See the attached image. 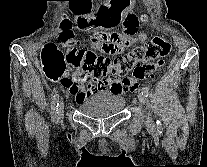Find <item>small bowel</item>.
<instances>
[{"label":"small bowel","mask_w":207,"mask_h":167,"mask_svg":"<svg viewBox=\"0 0 207 167\" xmlns=\"http://www.w3.org/2000/svg\"><path fill=\"white\" fill-rule=\"evenodd\" d=\"M131 2L132 0H107L101 10H98L100 15L94 20L86 19L87 15H83L91 14L93 1H70L69 9H71L73 17L82 19L77 20V24L83 28L96 26L103 29L122 24L123 20L121 19L126 16L123 34L98 30L91 38V44L96 51L105 55H119L126 48L137 42H145L148 38L146 33L138 34L137 30L138 26H141L140 21L145 20V16L138 18L133 13H125L131 8ZM122 74L116 67H113L108 78L97 80L89 74L83 73L80 69L71 71L70 68L64 67L59 81L75 97L77 103H83L87 98L96 94L121 95L136 90L137 82L133 79L121 78Z\"/></svg>","instance_id":"1"}]
</instances>
